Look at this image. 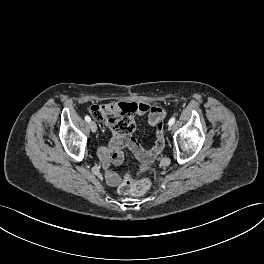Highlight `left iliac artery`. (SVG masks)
I'll use <instances>...</instances> for the list:
<instances>
[{
    "label": "left iliac artery",
    "mask_w": 264,
    "mask_h": 264,
    "mask_svg": "<svg viewBox=\"0 0 264 264\" xmlns=\"http://www.w3.org/2000/svg\"><path fill=\"white\" fill-rule=\"evenodd\" d=\"M175 120H176L175 117L170 118L168 124H169L170 126H172V125L175 123Z\"/></svg>",
    "instance_id": "obj_1"
}]
</instances>
